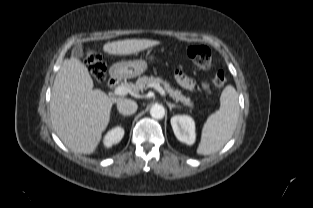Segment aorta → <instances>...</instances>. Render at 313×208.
<instances>
[{
    "mask_svg": "<svg viewBox=\"0 0 313 208\" xmlns=\"http://www.w3.org/2000/svg\"><path fill=\"white\" fill-rule=\"evenodd\" d=\"M150 115L155 119H162L165 115V109L160 104H155L150 109Z\"/></svg>",
    "mask_w": 313,
    "mask_h": 208,
    "instance_id": "1",
    "label": "aorta"
}]
</instances>
